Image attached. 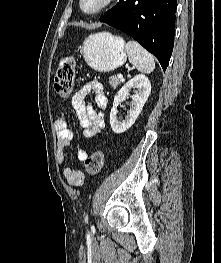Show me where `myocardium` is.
I'll list each match as a JSON object with an SVG mask.
<instances>
[{
  "label": "myocardium",
  "instance_id": "f54148a6",
  "mask_svg": "<svg viewBox=\"0 0 221 263\" xmlns=\"http://www.w3.org/2000/svg\"><path fill=\"white\" fill-rule=\"evenodd\" d=\"M115 1L116 0H103L97 8L93 10H87L84 7V0H79V7L81 11L87 15H98L110 8L115 3Z\"/></svg>",
  "mask_w": 221,
  "mask_h": 263
}]
</instances>
